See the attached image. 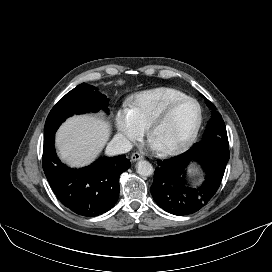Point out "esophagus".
<instances>
[{
    "label": "esophagus",
    "instance_id": "esophagus-1",
    "mask_svg": "<svg viewBox=\"0 0 272 272\" xmlns=\"http://www.w3.org/2000/svg\"><path fill=\"white\" fill-rule=\"evenodd\" d=\"M142 158H143L142 155L140 153H138V152L133 153L132 156H131V160L133 162L138 161V160H140Z\"/></svg>",
    "mask_w": 272,
    "mask_h": 272
}]
</instances>
